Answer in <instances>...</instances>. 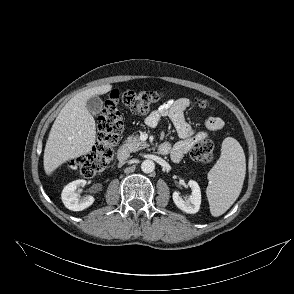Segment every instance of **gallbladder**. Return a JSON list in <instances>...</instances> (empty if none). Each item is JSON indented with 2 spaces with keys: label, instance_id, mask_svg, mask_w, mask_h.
Segmentation results:
<instances>
[{
  "label": "gallbladder",
  "instance_id": "bac80fb5",
  "mask_svg": "<svg viewBox=\"0 0 294 294\" xmlns=\"http://www.w3.org/2000/svg\"><path fill=\"white\" fill-rule=\"evenodd\" d=\"M102 106L103 102L97 95L90 97L86 102V108L93 115L98 114L102 110Z\"/></svg>",
  "mask_w": 294,
  "mask_h": 294
}]
</instances>
